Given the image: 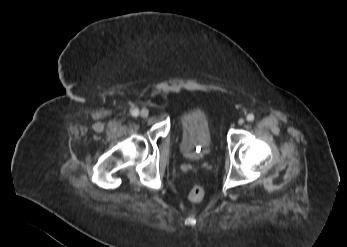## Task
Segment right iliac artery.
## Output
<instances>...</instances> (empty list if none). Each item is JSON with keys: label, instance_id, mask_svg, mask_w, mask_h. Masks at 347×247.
<instances>
[{"label": "right iliac artery", "instance_id": "1", "mask_svg": "<svg viewBox=\"0 0 347 247\" xmlns=\"http://www.w3.org/2000/svg\"><path fill=\"white\" fill-rule=\"evenodd\" d=\"M130 113H131L132 116L136 117V116H138V114H139V109L136 108V107H132V108L130 109Z\"/></svg>", "mask_w": 347, "mask_h": 247}]
</instances>
